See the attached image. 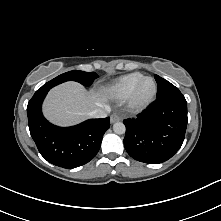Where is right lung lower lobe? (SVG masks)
<instances>
[{
	"mask_svg": "<svg viewBox=\"0 0 221 221\" xmlns=\"http://www.w3.org/2000/svg\"><path fill=\"white\" fill-rule=\"evenodd\" d=\"M48 89L36 91L27 106L30 134L48 162L67 169L88 163L97 154L110 118L89 119L72 127H58L49 123L41 111Z\"/></svg>",
	"mask_w": 221,
	"mask_h": 221,
	"instance_id": "1",
	"label": "right lung lower lobe"
}]
</instances>
